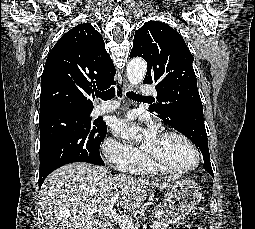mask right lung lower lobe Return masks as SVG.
I'll use <instances>...</instances> for the list:
<instances>
[{
  "instance_id": "1",
  "label": "right lung lower lobe",
  "mask_w": 255,
  "mask_h": 229,
  "mask_svg": "<svg viewBox=\"0 0 255 229\" xmlns=\"http://www.w3.org/2000/svg\"><path fill=\"white\" fill-rule=\"evenodd\" d=\"M119 94H121V90L119 89V92H118ZM95 165H104V162L102 161L101 163H97V164H95ZM48 174H50V173H39V187H41V185L43 184V182H44V180H45V178L48 176Z\"/></svg>"
}]
</instances>
